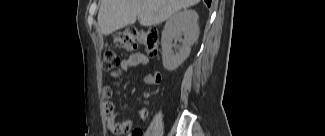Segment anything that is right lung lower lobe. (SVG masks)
Segmentation results:
<instances>
[{
    "label": "right lung lower lobe",
    "instance_id": "98d812e1",
    "mask_svg": "<svg viewBox=\"0 0 325 136\" xmlns=\"http://www.w3.org/2000/svg\"><path fill=\"white\" fill-rule=\"evenodd\" d=\"M205 2L207 3L208 6H210L211 0H205Z\"/></svg>",
    "mask_w": 325,
    "mask_h": 136
}]
</instances>
